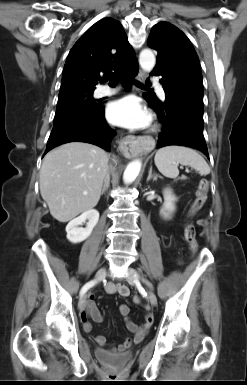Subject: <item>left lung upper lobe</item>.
<instances>
[{
    "instance_id": "5c2ea615",
    "label": "left lung upper lobe",
    "mask_w": 247,
    "mask_h": 385,
    "mask_svg": "<svg viewBox=\"0 0 247 385\" xmlns=\"http://www.w3.org/2000/svg\"><path fill=\"white\" fill-rule=\"evenodd\" d=\"M148 46L158 52L155 69L164 70L185 91L203 99L199 59L190 40L181 30L168 22H159L151 30ZM144 96L154 100L148 94Z\"/></svg>"
}]
</instances>
